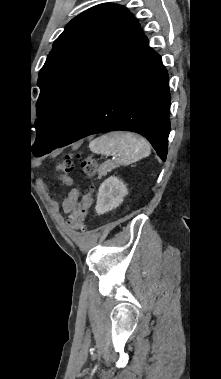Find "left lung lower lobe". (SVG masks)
Here are the masks:
<instances>
[{"mask_svg": "<svg viewBox=\"0 0 221 379\" xmlns=\"http://www.w3.org/2000/svg\"><path fill=\"white\" fill-rule=\"evenodd\" d=\"M168 80L161 57L146 44L56 148L92 134L126 130L147 138L165 161L170 131Z\"/></svg>", "mask_w": 221, "mask_h": 379, "instance_id": "left-lung-lower-lobe-1", "label": "left lung lower lobe"}]
</instances>
